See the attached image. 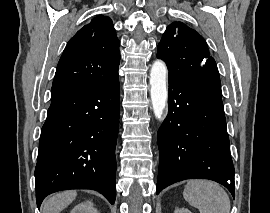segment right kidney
Returning <instances> with one entry per match:
<instances>
[{
  "label": "right kidney",
  "instance_id": "obj_1",
  "mask_svg": "<svg viewBox=\"0 0 270 213\" xmlns=\"http://www.w3.org/2000/svg\"><path fill=\"white\" fill-rule=\"evenodd\" d=\"M70 213H99L91 201L77 204Z\"/></svg>",
  "mask_w": 270,
  "mask_h": 213
}]
</instances>
